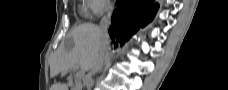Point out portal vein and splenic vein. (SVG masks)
<instances>
[{
  "instance_id": "obj_1",
  "label": "portal vein and splenic vein",
  "mask_w": 228,
  "mask_h": 90,
  "mask_svg": "<svg viewBox=\"0 0 228 90\" xmlns=\"http://www.w3.org/2000/svg\"><path fill=\"white\" fill-rule=\"evenodd\" d=\"M73 69H79V67H74ZM78 78H81L84 75V72L82 70H80L78 73Z\"/></svg>"
}]
</instances>
